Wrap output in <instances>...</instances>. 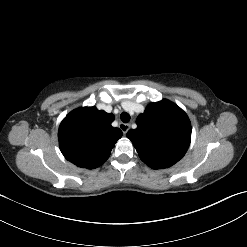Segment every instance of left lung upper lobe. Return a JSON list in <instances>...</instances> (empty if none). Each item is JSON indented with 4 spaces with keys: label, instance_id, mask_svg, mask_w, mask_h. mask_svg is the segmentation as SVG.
Returning <instances> with one entry per match:
<instances>
[{
    "label": "left lung upper lobe",
    "instance_id": "left-lung-upper-lobe-1",
    "mask_svg": "<svg viewBox=\"0 0 247 247\" xmlns=\"http://www.w3.org/2000/svg\"><path fill=\"white\" fill-rule=\"evenodd\" d=\"M127 137L141 160L153 169L168 168L186 153L191 141L187 114L169 100L151 103L136 120Z\"/></svg>",
    "mask_w": 247,
    "mask_h": 247
}]
</instances>
